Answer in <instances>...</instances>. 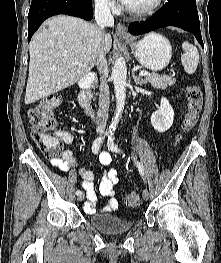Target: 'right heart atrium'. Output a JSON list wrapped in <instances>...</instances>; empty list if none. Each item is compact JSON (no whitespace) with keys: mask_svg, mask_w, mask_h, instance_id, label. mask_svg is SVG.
<instances>
[{"mask_svg":"<svg viewBox=\"0 0 221 263\" xmlns=\"http://www.w3.org/2000/svg\"><path fill=\"white\" fill-rule=\"evenodd\" d=\"M94 3L101 9L114 11L116 9V0H93Z\"/></svg>","mask_w":221,"mask_h":263,"instance_id":"obj_1","label":"right heart atrium"}]
</instances>
